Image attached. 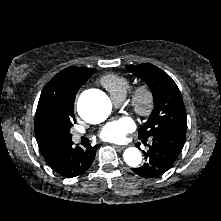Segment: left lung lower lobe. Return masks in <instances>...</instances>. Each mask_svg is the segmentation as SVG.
<instances>
[{"mask_svg": "<svg viewBox=\"0 0 221 221\" xmlns=\"http://www.w3.org/2000/svg\"><path fill=\"white\" fill-rule=\"evenodd\" d=\"M186 133L165 132L151 137L152 145L147 152L143 151L146 162L132 171L143 178H154L171 168L185 144ZM144 139L143 141H146Z\"/></svg>", "mask_w": 221, "mask_h": 221, "instance_id": "1", "label": "left lung lower lobe"}]
</instances>
